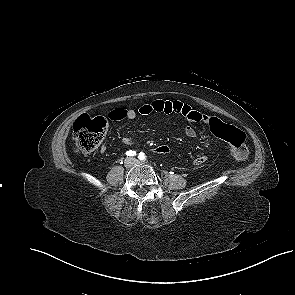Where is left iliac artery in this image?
Here are the masks:
<instances>
[{"label":"left iliac artery","instance_id":"obj_1","mask_svg":"<svg viewBox=\"0 0 295 295\" xmlns=\"http://www.w3.org/2000/svg\"><path fill=\"white\" fill-rule=\"evenodd\" d=\"M138 158H139L140 160H142V161H145V160H146V155H145V153L140 152Z\"/></svg>","mask_w":295,"mask_h":295}]
</instances>
